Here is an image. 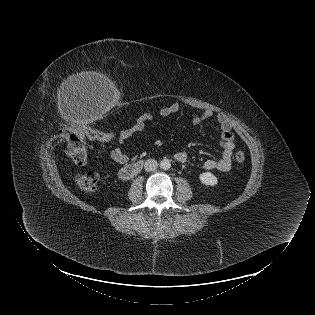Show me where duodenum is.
Here are the masks:
<instances>
[{"label": "duodenum", "mask_w": 315, "mask_h": 315, "mask_svg": "<svg viewBox=\"0 0 315 315\" xmlns=\"http://www.w3.org/2000/svg\"><path fill=\"white\" fill-rule=\"evenodd\" d=\"M142 166L143 161L141 160L129 163L120 170V177L123 180H129L132 177H134L137 173H139V171L142 169Z\"/></svg>", "instance_id": "1"}]
</instances>
